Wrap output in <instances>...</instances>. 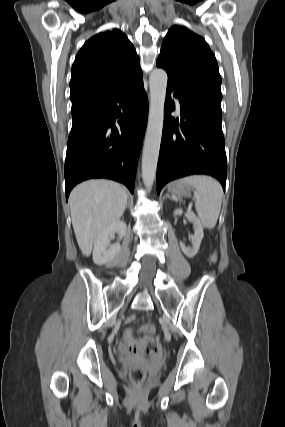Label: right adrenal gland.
Here are the masks:
<instances>
[{"label":"right adrenal gland","instance_id":"right-adrenal-gland-1","mask_svg":"<svg viewBox=\"0 0 285 427\" xmlns=\"http://www.w3.org/2000/svg\"><path fill=\"white\" fill-rule=\"evenodd\" d=\"M129 204H130V202H129V199H128V203H127V206H129Z\"/></svg>","mask_w":285,"mask_h":427}]
</instances>
